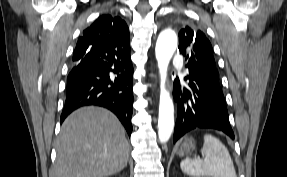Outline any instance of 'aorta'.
I'll return each mask as SVG.
<instances>
[{"instance_id":"1","label":"aorta","mask_w":287,"mask_h":177,"mask_svg":"<svg viewBox=\"0 0 287 177\" xmlns=\"http://www.w3.org/2000/svg\"><path fill=\"white\" fill-rule=\"evenodd\" d=\"M177 35L172 30L160 33L155 47V55L160 72V101L158 117V138L161 143H166L174 129V105L170 93L165 88L169 62L177 48Z\"/></svg>"}]
</instances>
